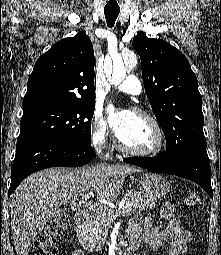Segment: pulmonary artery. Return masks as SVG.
<instances>
[{
  "mask_svg": "<svg viewBox=\"0 0 221 255\" xmlns=\"http://www.w3.org/2000/svg\"><path fill=\"white\" fill-rule=\"evenodd\" d=\"M115 88L130 95H140L142 91L141 83L134 75L127 76L121 83L117 84Z\"/></svg>",
  "mask_w": 221,
  "mask_h": 255,
  "instance_id": "e3ab8cb5",
  "label": "pulmonary artery"
}]
</instances>
